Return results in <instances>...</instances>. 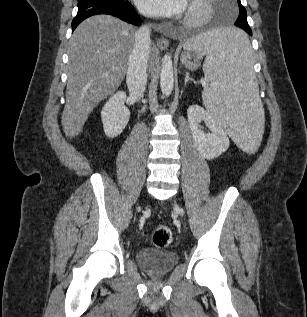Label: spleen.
Wrapping results in <instances>:
<instances>
[{
  "mask_svg": "<svg viewBox=\"0 0 307 317\" xmlns=\"http://www.w3.org/2000/svg\"><path fill=\"white\" fill-rule=\"evenodd\" d=\"M184 49L205 55L203 71L210 87L202 92L203 103L234 139L242 155H258L263 148V106L251 64L246 29H208L184 44Z\"/></svg>",
  "mask_w": 307,
  "mask_h": 317,
  "instance_id": "obj_1",
  "label": "spleen"
}]
</instances>
